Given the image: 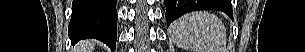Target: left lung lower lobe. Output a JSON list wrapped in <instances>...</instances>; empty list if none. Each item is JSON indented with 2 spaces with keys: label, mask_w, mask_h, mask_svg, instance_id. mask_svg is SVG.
I'll return each mask as SVG.
<instances>
[{
  "label": "left lung lower lobe",
  "mask_w": 305,
  "mask_h": 52,
  "mask_svg": "<svg viewBox=\"0 0 305 52\" xmlns=\"http://www.w3.org/2000/svg\"><path fill=\"white\" fill-rule=\"evenodd\" d=\"M227 1H229V5L227 7L217 8L212 6L208 0H164L166 6L167 26H169L171 22L183 14L198 9L220 10L226 13L230 18H233L231 1Z\"/></svg>",
  "instance_id": "1"
}]
</instances>
